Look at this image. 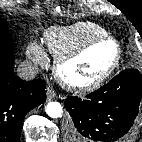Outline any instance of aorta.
I'll return each mask as SVG.
<instances>
[{
  "label": "aorta",
  "instance_id": "1",
  "mask_svg": "<svg viewBox=\"0 0 142 142\" xmlns=\"http://www.w3.org/2000/svg\"><path fill=\"white\" fill-rule=\"evenodd\" d=\"M63 112L62 106L59 102H49L46 105V113L51 118H59L61 117Z\"/></svg>",
  "mask_w": 142,
  "mask_h": 142
}]
</instances>
